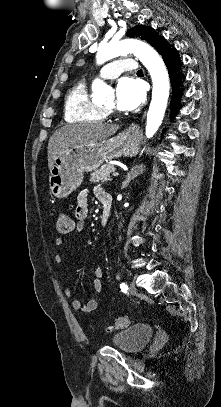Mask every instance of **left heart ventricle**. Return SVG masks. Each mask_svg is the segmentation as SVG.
I'll list each match as a JSON object with an SVG mask.
<instances>
[{
  "label": "left heart ventricle",
  "instance_id": "1",
  "mask_svg": "<svg viewBox=\"0 0 221 407\" xmlns=\"http://www.w3.org/2000/svg\"><path fill=\"white\" fill-rule=\"evenodd\" d=\"M116 104V99L113 97L108 103L105 104L107 107H114Z\"/></svg>",
  "mask_w": 221,
  "mask_h": 407
}]
</instances>
